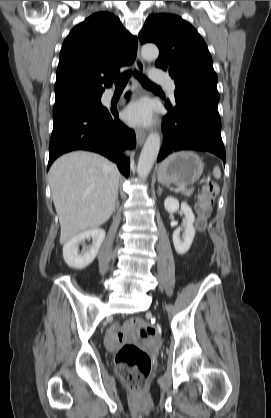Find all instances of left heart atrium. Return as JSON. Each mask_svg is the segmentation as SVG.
<instances>
[{"mask_svg":"<svg viewBox=\"0 0 271 418\" xmlns=\"http://www.w3.org/2000/svg\"><path fill=\"white\" fill-rule=\"evenodd\" d=\"M124 117L130 125H147L151 121V107L146 101L133 103L125 109Z\"/></svg>","mask_w":271,"mask_h":418,"instance_id":"obj_1","label":"left heart atrium"}]
</instances>
